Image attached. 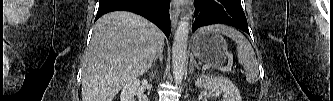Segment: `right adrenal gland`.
Wrapping results in <instances>:
<instances>
[{"mask_svg": "<svg viewBox=\"0 0 333 101\" xmlns=\"http://www.w3.org/2000/svg\"><path fill=\"white\" fill-rule=\"evenodd\" d=\"M159 58L160 62H163V49H161L155 56L153 63L155 65V62L157 61V59Z\"/></svg>", "mask_w": 333, "mask_h": 101, "instance_id": "2a0ac1e0", "label": "right adrenal gland"}]
</instances>
